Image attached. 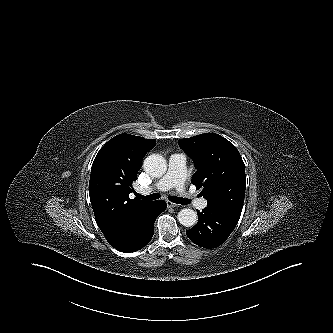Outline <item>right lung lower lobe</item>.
<instances>
[{
    "label": "right lung lower lobe",
    "instance_id": "obj_1",
    "mask_svg": "<svg viewBox=\"0 0 333 333\" xmlns=\"http://www.w3.org/2000/svg\"><path fill=\"white\" fill-rule=\"evenodd\" d=\"M165 209V201H154L148 213L136 221L127 238L116 249L130 253L145 247L153 236V226L157 216Z\"/></svg>",
    "mask_w": 333,
    "mask_h": 333
}]
</instances>
